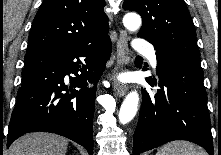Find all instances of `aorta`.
<instances>
[{"label":"aorta","mask_w":221,"mask_h":155,"mask_svg":"<svg viewBox=\"0 0 221 155\" xmlns=\"http://www.w3.org/2000/svg\"><path fill=\"white\" fill-rule=\"evenodd\" d=\"M123 24L129 31H136L141 26V17L133 12L127 13L123 18ZM139 103V95L137 91H131L125 97L120 111H119V122L126 124L130 122L136 115Z\"/></svg>","instance_id":"aorta-1"}]
</instances>
